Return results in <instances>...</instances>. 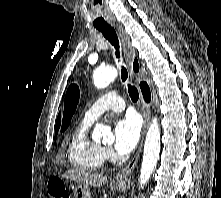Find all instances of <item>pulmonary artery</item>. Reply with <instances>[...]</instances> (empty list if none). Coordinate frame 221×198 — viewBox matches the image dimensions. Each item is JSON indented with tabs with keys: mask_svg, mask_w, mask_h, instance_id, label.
<instances>
[{
	"mask_svg": "<svg viewBox=\"0 0 221 198\" xmlns=\"http://www.w3.org/2000/svg\"><path fill=\"white\" fill-rule=\"evenodd\" d=\"M125 103L122 97L116 91H110L101 96L86 112L84 115V121L94 122L105 111L113 110L120 112L124 109Z\"/></svg>",
	"mask_w": 221,
	"mask_h": 198,
	"instance_id": "e3ab8cb5",
	"label": "pulmonary artery"
}]
</instances>
